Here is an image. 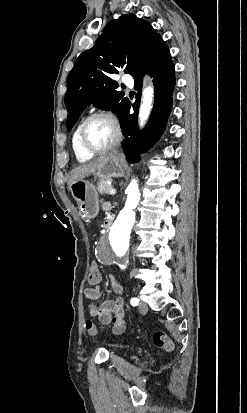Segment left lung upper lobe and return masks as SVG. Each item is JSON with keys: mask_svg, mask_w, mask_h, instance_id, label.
Masks as SVG:
<instances>
[{"mask_svg": "<svg viewBox=\"0 0 247 413\" xmlns=\"http://www.w3.org/2000/svg\"><path fill=\"white\" fill-rule=\"evenodd\" d=\"M167 47L154 28L134 14L111 20L95 45L77 58L68 75L65 105L68 110L67 129L71 130L83 110L94 106L111 110L123 122L129 100L118 92L117 82L109 77L118 68L132 75L139 74L152 56Z\"/></svg>", "mask_w": 247, "mask_h": 413, "instance_id": "obj_1", "label": "left lung upper lobe"}]
</instances>
